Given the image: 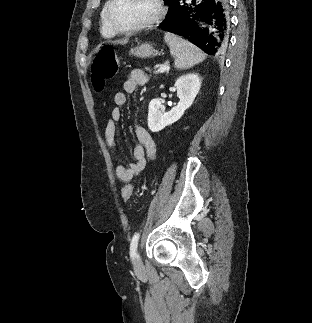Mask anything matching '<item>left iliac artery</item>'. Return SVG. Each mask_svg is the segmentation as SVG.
Returning <instances> with one entry per match:
<instances>
[{
	"label": "left iliac artery",
	"instance_id": "44dca946",
	"mask_svg": "<svg viewBox=\"0 0 312 323\" xmlns=\"http://www.w3.org/2000/svg\"><path fill=\"white\" fill-rule=\"evenodd\" d=\"M138 240H139V233H136L132 240H131V244H130V256L134 257L136 255V249L138 246Z\"/></svg>",
	"mask_w": 312,
	"mask_h": 323
}]
</instances>
